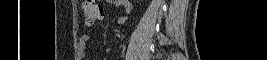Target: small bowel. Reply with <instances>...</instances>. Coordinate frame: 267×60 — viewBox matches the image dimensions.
<instances>
[{
    "instance_id": "obj_1",
    "label": "small bowel",
    "mask_w": 267,
    "mask_h": 60,
    "mask_svg": "<svg viewBox=\"0 0 267 60\" xmlns=\"http://www.w3.org/2000/svg\"><path fill=\"white\" fill-rule=\"evenodd\" d=\"M124 7H125V9H128V7L126 5ZM80 40H81V44L85 45L89 40V35L88 34H83L80 37Z\"/></svg>"
}]
</instances>
